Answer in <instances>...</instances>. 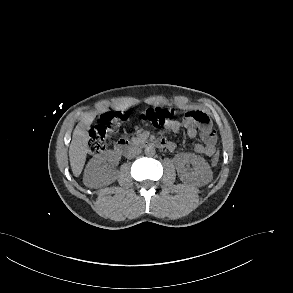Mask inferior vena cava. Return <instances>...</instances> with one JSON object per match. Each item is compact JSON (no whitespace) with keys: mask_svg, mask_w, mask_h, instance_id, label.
Returning <instances> with one entry per match:
<instances>
[{"mask_svg":"<svg viewBox=\"0 0 293 293\" xmlns=\"http://www.w3.org/2000/svg\"><path fill=\"white\" fill-rule=\"evenodd\" d=\"M141 153V149L139 147H132L129 152L127 153L128 158H133Z\"/></svg>","mask_w":293,"mask_h":293,"instance_id":"602c4592","label":"inferior vena cava"}]
</instances>
